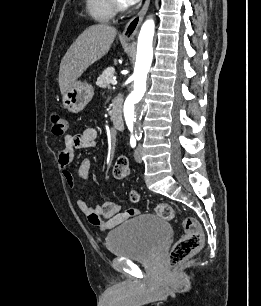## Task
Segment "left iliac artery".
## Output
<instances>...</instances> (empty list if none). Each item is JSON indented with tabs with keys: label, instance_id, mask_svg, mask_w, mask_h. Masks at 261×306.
I'll return each instance as SVG.
<instances>
[{
	"label": "left iliac artery",
	"instance_id": "1",
	"mask_svg": "<svg viewBox=\"0 0 261 306\" xmlns=\"http://www.w3.org/2000/svg\"><path fill=\"white\" fill-rule=\"evenodd\" d=\"M141 138V134L140 135H136V139L139 140ZM130 145L131 147H135L136 146V140L133 136H131L130 138Z\"/></svg>",
	"mask_w": 261,
	"mask_h": 306
}]
</instances>
